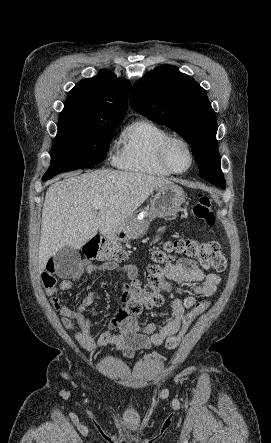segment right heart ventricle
Segmentation results:
<instances>
[{
	"mask_svg": "<svg viewBox=\"0 0 271 443\" xmlns=\"http://www.w3.org/2000/svg\"><path fill=\"white\" fill-rule=\"evenodd\" d=\"M169 135L160 124L147 117H139L125 127L121 134V148L116 165L124 170L167 177L172 172L159 157V146Z\"/></svg>",
	"mask_w": 271,
	"mask_h": 443,
	"instance_id": "obj_1",
	"label": "right heart ventricle"
}]
</instances>
